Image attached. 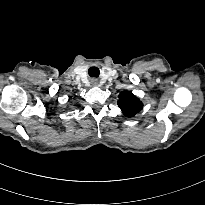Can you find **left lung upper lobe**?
Segmentation results:
<instances>
[{"label":"left lung upper lobe","instance_id":"left-lung-upper-lobe-1","mask_svg":"<svg viewBox=\"0 0 205 205\" xmlns=\"http://www.w3.org/2000/svg\"><path fill=\"white\" fill-rule=\"evenodd\" d=\"M117 102L118 107L121 109L123 114L127 117H133L143 108L142 102L134 96L131 92L122 91Z\"/></svg>","mask_w":205,"mask_h":205}]
</instances>
